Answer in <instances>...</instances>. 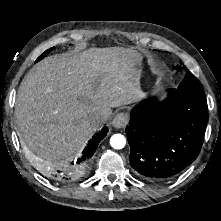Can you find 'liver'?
Segmentation results:
<instances>
[{"mask_svg":"<svg viewBox=\"0 0 221 221\" xmlns=\"http://www.w3.org/2000/svg\"><path fill=\"white\" fill-rule=\"evenodd\" d=\"M141 75L140 54L123 47L89 48L43 59L22 80L15 102L25 154L52 160L81 150L99 129L90 125V114L102 111L107 120L111 108L139 101Z\"/></svg>","mask_w":221,"mask_h":221,"instance_id":"obj_1","label":"liver"}]
</instances>
